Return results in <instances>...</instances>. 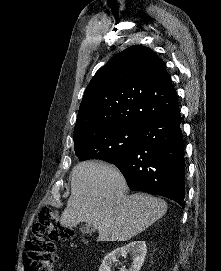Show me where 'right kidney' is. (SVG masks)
Here are the masks:
<instances>
[{
	"label": "right kidney",
	"mask_w": 221,
	"mask_h": 271,
	"mask_svg": "<svg viewBox=\"0 0 221 271\" xmlns=\"http://www.w3.org/2000/svg\"><path fill=\"white\" fill-rule=\"evenodd\" d=\"M146 251L147 245L145 241H130V243H126L122 247H116V249L107 253L104 259H102L98 271H112L113 265L119 261L118 257L127 255V253L131 255V265L129 269L122 265L120 271H139L144 263Z\"/></svg>",
	"instance_id": "ca27d5eb"
}]
</instances>
